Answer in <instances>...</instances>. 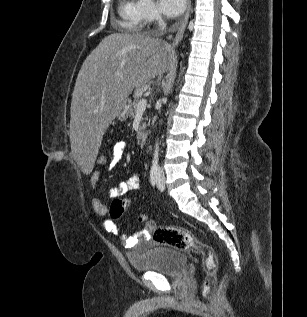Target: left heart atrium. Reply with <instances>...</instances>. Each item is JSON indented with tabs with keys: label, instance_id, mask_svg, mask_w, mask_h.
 Wrapping results in <instances>:
<instances>
[{
	"label": "left heart atrium",
	"instance_id": "1",
	"mask_svg": "<svg viewBox=\"0 0 307 317\" xmlns=\"http://www.w3.org/2000/svg\"><path fill=\"white\" fill-rule=\"evenodd\" d=\"M186 0H158V7L161 13L167 17L180 15L185 8Z\"/></svg>",
	"mask_w": 307,
	"mask_h": 317
}]
</instances>
